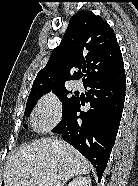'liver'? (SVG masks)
I'll list each match as a JSON object with an SVG mask.
<instances>
[{
    "label": "liver",
    "instance_id": "liver-1",
    "mask_svg": "<svg viewBox=\"0 0 138 186\" xmlns=\"http://www.w3.org/2000/svg\"><path fill=\"white\" fill-rule=\"evenodd\" d=\"M89 161L63 140L43 138L11 155L4 170V186H36L32 174L46 186H63L74 176L90 173Z\"/></svg>",
    "mask_w": 138,
    "mask_h": 186
}]
</instances>
